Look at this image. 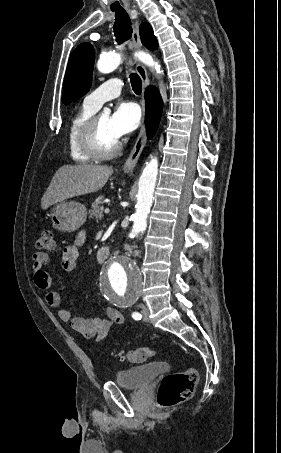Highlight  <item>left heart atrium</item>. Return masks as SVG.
Listing matches in <instances>:
<instances>
[{"instance_id": "obj_1", "label": "left heart atrium", "mask_w": 281, "mask_h": 453, "mask_svg": "<svg viewBox=\"0 0 281 453\" xmlns=\"http://www.w3.org/2000/svg\"><path fill=\"white\" fill-rule=\"evenodd\" d=\"M142 120L140 107L130 101H120L110 117V128L118 139L136 130Z\"/></svg>"}]
</instances>
